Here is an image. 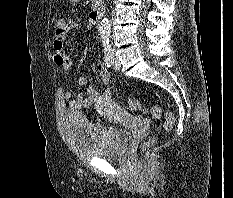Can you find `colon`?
<instances>
[{
    "instance_id": "colon-1",
    "label": "colon",
    "mask_w": 233,
    "mask_h": 198,
    "mask_svg": "<svg viewBox=\"0 0 233 198\" xmlns=\"http://www.w3.org/2000/svg\"><path fill=\"white\" fill-rule=\"evenodd\" d=\"M64 20L58 19L55 24V32L61 33L63 31ZM126 106L131 110H138L140 108V102L137 99L129 98L126 100ZM146 113L152 118H160L163 114L162 107L158 104H154L146 109ZM175 122L174 114L171 111L164 112V124L163 127L166 131H169L173 128ZM156 142L155 138H151L146 142L141 150L143 154L149 147H151Z\"/></svg>"
}]
</instances>
